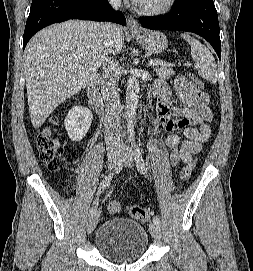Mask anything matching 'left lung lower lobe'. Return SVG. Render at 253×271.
<instances>
[{
  "mask_svg": "<svg viewBox=\"0 0 253 271\" xmlns=\"http://www.w3.org/2000/svg\"><path fill=\"white\" fill-rule=\"evenodd\" d=\"M141 25L153 30H180L205 38L221 59L219 22L213 0H175L171 12L157 17L139 18Z\"/></svg>",
  "mask_w": 253,
  "mask_h": 271,
  "instance_id": "obj_1",
  "label": "left lung lower lobe"
}]
</instances>
